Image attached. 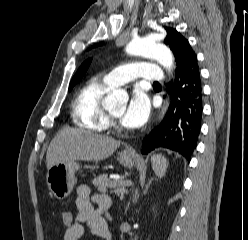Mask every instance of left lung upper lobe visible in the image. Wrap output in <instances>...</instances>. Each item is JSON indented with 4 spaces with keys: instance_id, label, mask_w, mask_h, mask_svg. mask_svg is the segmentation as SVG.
Wrapping results in <instances>:
<instances>
[{
    "instance_id": "5c2ea615",
    "label": "left lung upper lobe",
    "mask_w": 248,
    "mask_h": 240,
    "mask_svg": "<svg viewBox=\"0 0 248 240\" xmlns=\"http://www.w3.org/2000/svg\"><path fill=\"white\" fill-rule=\"evenodd\" d=\"M165 30L167 35L164 39V43L169 46L175 56L177 74L195 53L189 45L188 40L176 29L165 27Z\"/></svg>"
}]
</instances>
